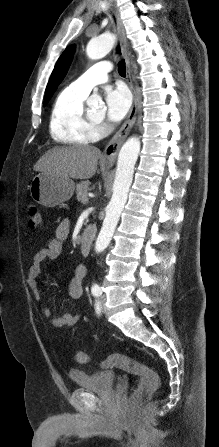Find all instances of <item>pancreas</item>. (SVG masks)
I'll return each mask as SVG.
<instances>
[{
	"label": "pancreas",
	"mask_w": 219,
	"mask_h": 447,
	"mask_svg": "<svg viewBox=\"0 0 219 447\" xmlns=\"http://www.w3.org/2000/svg\"><path fill=\"white\" fill-rule=\"evenodd\" d=\"M90 182L89 181H82L79 184L76 185V194H77V200L82 202V199L84 197H87V192L90 189Z\"/></svg>",
	"instance_id": "cf45deb5"
}]
</instances>
